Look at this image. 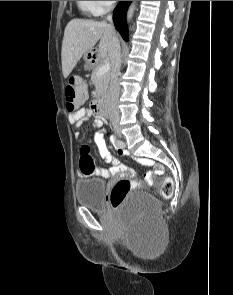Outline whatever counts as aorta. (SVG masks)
<instances>
[{
	"mask_svg": "<svg viewBox=\"0 0 233 295\" xmlns=\"http://www.w3.org/2000/svg\"><path fill=\"white\" fill-rule=\"evenodd\" d=\"M134 10H135V1L132 2L131 6L128 10V14H127L128 21L131 20L133 14H134Z\"/></svg>",
	"mask_w": 233,
	"mask_h": 295,
	"instance_id": "obj_1",
	"label": "aorta"
}]
</instances>
